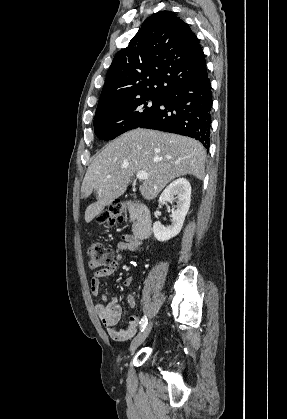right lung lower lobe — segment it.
I'll return each mask as SVG.
<instances>
[{
  "mask_svg": "<svg viewBox=\"0 0 287 419\" xmlns=\"http://www.w3.org/2000/svg\"><path fill=\"white\" fill-rule=\"evenodd\" d=\"M212 88L208 74L181 84L164 96L139 127L189 136L210 146Z\"/></svg>",
  "mask_w": 287,
  "mask_h": 419,
  "instance_id": "98d812e1",
  "label": "right lung lower lobe"
}]
</instances>
